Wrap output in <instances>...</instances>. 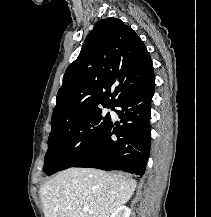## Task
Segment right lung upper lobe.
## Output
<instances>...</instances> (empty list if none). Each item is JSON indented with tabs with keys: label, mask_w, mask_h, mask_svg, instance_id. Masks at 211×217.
Returning a JSON list of instances; mask_svg holds the SVG:
<instances>
[{
	"label": "right lung upper lobe",
	"mask_w": 211,
	"mask_h": 217,
	"mask_svg": "<svg viewBox=\"0 0 211 217\" xmlns=\"http://www.w3.org/2000/svg\"><path fill=\"white\" fill-rule=\"evenodd\" d=\"M152 72L149 52L130 26L117 18L99 20L63 76L52 128L101 107L113 108L132 84Z\"/></svg>",
	"instance_id": "right-lung-upper-lobe-1"
}]
</instances>
